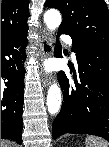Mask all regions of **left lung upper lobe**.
I'll return each instance as SVG.
<instances>
[{
    "label": "left lung upper lobe",
    "instance_id": "obj_1",
    "mask_svg": "<svg viewBox=\"0 0 109 147\" xmlns=\"http://www.w3.org/2000/svg\"><path fill=\"white\" fill-rule=\"evenodd\" d=\"M63 16L59 28L109 48V10L104 0H47Z\"/></svg>",
    "mask_w": 109,
    "mask_h": 147
}]
</instances>
